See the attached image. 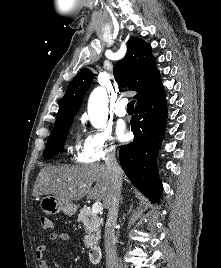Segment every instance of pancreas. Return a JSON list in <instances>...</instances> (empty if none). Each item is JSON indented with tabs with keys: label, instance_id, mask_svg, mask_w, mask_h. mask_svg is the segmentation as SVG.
<instances>
[{
	"label": "pancreas",
	"instance_id": "pancreas-1",
	"mask_svg": "<svg viewBox=\"0 0 221 268\" xmlns=\"http://www.w3.org/2000/svg\"><path fill=\"white\" fill-rule=\"evenodd\" d=\"M78 221H82L85 229L84 245L86 248H92L98 244L101 238V220L97 214L84 206L78 215Z\"/></svg>",
	"mask_w": 221,
	"mask_h": 268
}]
</instances>
